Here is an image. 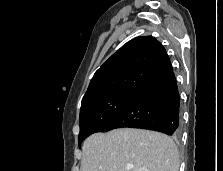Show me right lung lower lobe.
<instances>
[{
    "label": "right lung lower lobe",
    "instance_id": "98d812e1",
    "mask_svg": "<svg viewBox=\"0 0 223 171\" xmlns=\"http://www.w3.org/2000/svg\"><path fill=\"white\" fill-rule=\"evenodd\" d=\"M123 127L180 135V96L173 70L138 93L98 132Z\"/></svg>",
    "mask_w": 223,
    "mask_h": 171
}]
</instances>
